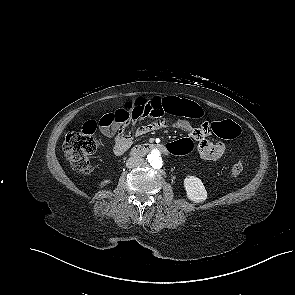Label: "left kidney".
<instances>
[{"label":"left kidney","mask_w":295,"mask_h":295,"mask_svg":"<svg viewBox=\"0 0 295 295\" xmlns=\"http://www.w3.org/2000/svg\"><path fill=\"white\" fill-rule=\"evenodd\" d=\"M184 188L187 198L195 203L203 202L207 199V191L202 181L195 176H187L184 179Z\"/></svg>","instance_id":"obj_1"}]
</instances>
